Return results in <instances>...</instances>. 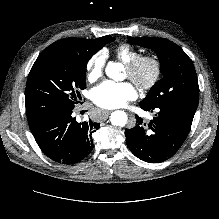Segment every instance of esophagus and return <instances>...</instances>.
<instances>
[{
  "label": "esophagus",
  "instance_id": "34e87169",
  "mask_svg": "<svg viewBox=\"0 0 219 219\" xmlns=\"http://www.w3.org/2000/svg\"><path fill=\"white\" fill-rule=\"evenodd\" d=\"M110 113H111L110 110H104L102 120H106L108 118V116L110 115Z\"/></svg>",
  "mask_w": 219,
  "mask_h": 219
}]
</instances>
